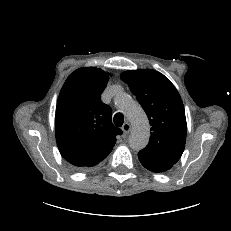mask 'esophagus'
<instances>
[{
  "label": "esophagus",
  "mask_w": 231,
  "mask_h": 231,
  "mask_svg": "<svg viewBox=\"0 0 231 231\" xmlns=\"http://www.w3.org/2000/svg\"><path fill=\"white\" fill-rule=\"evenodd\" d=\"M122 130L126 135L129 134V132L131 130V125L127 122L124 123V125L122 126Z\"/></svg>",
  "instance_id": "esophagus-1"
}]
</instances>
